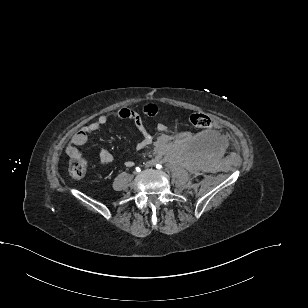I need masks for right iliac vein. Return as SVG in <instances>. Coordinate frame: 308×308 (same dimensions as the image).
<instances>
[{
	"label": "right iliac vein",
	"instance_id": "obj_1",
	"mask_svg": "<svg viewBox=\"0 0 308 308\" xmlns=\"http://www.w3.org/2000/svg\"><path fill=\"white\" fill-rule=\"evenodd\" d=\"M138 172L137 171H133V174L136 175Z\"/></svg>",
	"mask_w": 308,
	"mask_h": 308
}]
</instances>
